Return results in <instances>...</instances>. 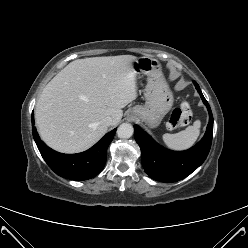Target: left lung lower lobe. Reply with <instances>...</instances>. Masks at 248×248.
<instances>
[{
  "instance_id": "left-lung-lower-lobe-1",
  "label": "left lung lower lobe",
  "mask_w": 248,
  "mask_h": 248,
  "mask_svg": "<svg viewBox=\"0 0 248 248\" xmlns=\"http://www.w3.org/2000/svg\"><path fill=\"white\" fill-rule=\"evenodd\" d=\"M209 112V123L204 137L185 151H171L156 143L142 128L134 126V137L141 149V160L145 172L161 182L179 181L195 171L206 159L213 136V116L199 85L193 82Z\"/></svg>"
}]
</instances>
